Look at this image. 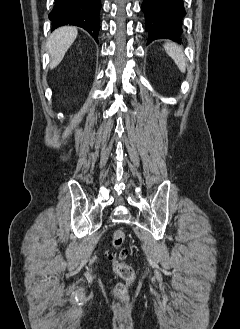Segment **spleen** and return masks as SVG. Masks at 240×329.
I'll return each instance as SVG.
<instances>
[{"label":"spleen","instance_id":"spleen-1","mask_svg":"<svg viewBox=\"0 0 240 329\" xmlns=\"http://www.w3.org/2000/svg\"><path fill=\"white\" fill-rule=\"evenodd\" d=\"M166 53L174 60L181 72L186 71V58L183 54L182 48L175 43H166L164 45Z\"/></svg>","mask_w":240,"mask_h":329}]
</instances>
